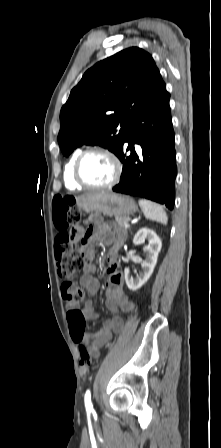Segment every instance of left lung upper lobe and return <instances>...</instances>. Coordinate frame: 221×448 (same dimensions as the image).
<instances>
[{"instance_id": "left-lung-upper-lobe-1", "label": "left lung upper lobe", "mask_w": 221, "mask_h": 448, "mask_svg": "<svg viewBox=\"0 0 221 448\" xmlns=\"http://www.w3.org/2000/svg\"><path fill=\"white\" fill-rule=\"evenodd\" d=\"M165 88L152 56L141 48H127L98 62L85 72L61 109L62 153L67 157L87 144L118 156L132 121Z\"/></svg>"}]
</instances>
